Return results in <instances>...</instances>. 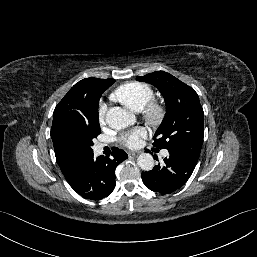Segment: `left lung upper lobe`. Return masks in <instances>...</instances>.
<instances>
[{
	"instance_id": "obj_1",
	"label": "left lung upper lobe",
	"mask_w": 257,
	"mask_h": 257,
	"mask_svg": "<svg viewBox=\"0 0 257 257\" xmlns=\"http://www.w3.org/2000/svg\"><path fill=\"white\" fill-rule=\"evenodd\" d=\"M157 87L165 99L166 114L153 137L155 147L176 149L198 157L204 135V113L197 93L164 71L137 77Z\"/></svg>"
}]
</instances>
